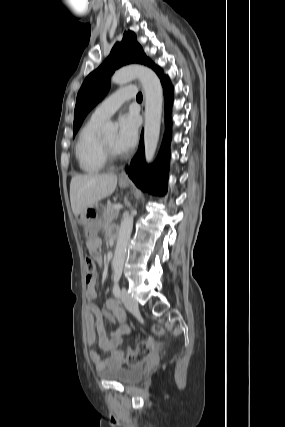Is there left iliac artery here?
<instances>
[{
  "instance_id": "44dca946",
  "label": "left iliac artery",
  "mask_w": 285,
  "mask_h": 427,
  "mask_svg": "<svg viewBox=\"0 0 285 427\" xmlns=\"http://www.w3.org/2000/svg\"><path fill=\"white\" fill-rule=\"evenodd\" d=\"M122 275V269L121 268H115L114 272V286H113V294L115 297H120V287H119V280Z\"/></svg>"
}]
</instances>
